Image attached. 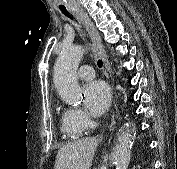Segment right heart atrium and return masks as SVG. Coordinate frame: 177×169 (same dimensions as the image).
<instances>
[{
    "mask_svg": "<svg viewBox=\"0 0 177 169\" xmlns=\"http://www.w3.org/2000/svg\"><path fill=\"white\" fill-rule=\"evenodd\" d=\"M67 118L72 127L87 128L92 125L90 117L79 108L68 109Z\"/></svg>",
    "mask_w": 177,
    "mask_h": 169,
    "instance_id": "1",
    "label": "right heart atrium"
}]
</instances>
